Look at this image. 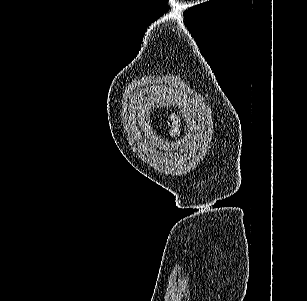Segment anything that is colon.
<instances>
[{
    "instance_id": "5ec220e1",
    "label": "colon",
    "mask_w": 307,
    "mask_h": 301,
    "mask_svg": "<svg viewBox=\"0 0 307 301\" xmlns=\"http://www.w3.org/2000/svg\"><path fill=\"white\" fill-rule=\"evenodd\" d=\"M170 127H171V131L174 133L175 132V128H176V120L175 119H171L170 122Z\"/></svg>"
}]
</instances>
